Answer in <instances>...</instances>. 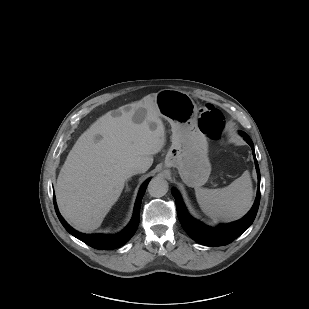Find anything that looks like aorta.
Listing matches in <instances>:
<instances>
[{
  "label": "aorta",
  "mask_w": 309,
  "mask_h": 309,
  "mask_svg": "<svg viewBox=\"0 0 309 309\" xmlns=\"http://www.w3.org/2000/svg\"><path fill=\"white\" fill-rule=\"evenodd\" d=\"M168 191V182L161 177H154L148 184V192L153 197H162Z\"/></svg>",
  "instance_id": "1"
}]
</instances>
